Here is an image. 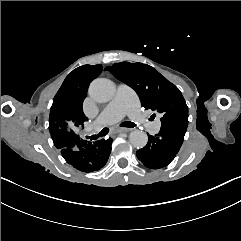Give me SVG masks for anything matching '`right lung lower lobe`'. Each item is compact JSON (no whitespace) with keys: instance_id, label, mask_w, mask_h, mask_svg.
I'll list each match as a JSON object with an SVG mask.
<instances>
[{"instance_id":"obj_1","label":"right lung lower lobe","mask_w":241,"mask_h":241,"mask_svg":"<svg viewBox=\"0 0 241 241\" xmlns=\"http://www.w3.org/2000/svg\"><path fill=\"white\" fill-rule=\"evenodd\" d=\"M113 139H101L95 142L83 139L73 141L61 148L60 152L68 164L82 172L101 169L107 162Z\"/></svg>"}]
</instances>
